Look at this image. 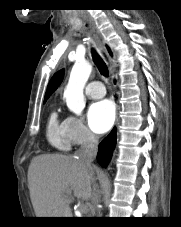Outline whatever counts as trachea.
I'll list each match as a JSON object with an SVG mask.
<instances>
[{
	"instance_id": "trachea-1",
	"label": "trachea",
	"mask_w": 181,
	"mask_h": 227,
	"mask_svg": "<svg viewBox=\"0 0 181 227\" xmlns=\"http://www.w3.org/2000/svg\"><path fill=\"white\" fill-rule=\"evenodd\" d=\"M92 57H93V60L96 64L99 72L103 76L107 77L109 74L108 68H107L105 62L103 61V59L99 56V54L94 49H92Z\"/></svg>"
}]
</instances>
